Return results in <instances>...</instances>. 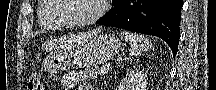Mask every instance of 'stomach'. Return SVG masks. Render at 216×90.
I'll list each match as a JSON object with an SVG mask.
<instances>
[{
    "label": "stomach",
    "mask_w": 216,
    "mask_h": 90,
    "mask_svg": "<svg viewBox=\"0 0 216 90\" xmlns=\"http://www.w3.org/2000/svg\"><path fill=\"white\" fill-rule=\"evenodd\" d=\"M120 47L121 43L114 35H94L75 54L50 55L44 61L43 69L54 74L70 67L97 66L113 58Z\"/></svg>",
    "instance_id": "stomach-1"
}]
</instances>
